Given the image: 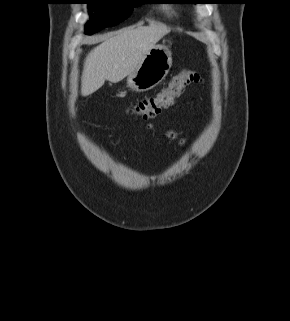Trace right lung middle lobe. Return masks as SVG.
I'll use <instances>...</instances> for the list:
<instances>
[{
	"label": "right lung middle lobe",
	"instance_id": "right-lung-middle-lobe-1",
	"mask_svg": "<svg viewBox=\"0 0 290 321\" xmlns=\"http://www.w3.org/2000/svg\"><path fill=\"white\" fill-rule=\"evenodd\" d=\"M134 1L136 0H86L91 15L90 23L86 26V34L91 35L126 19L132 13L134 6L141 5Z\"/></svg>",
	"mask_w": 290,
	"mask_h": 321
}]
</instances>
